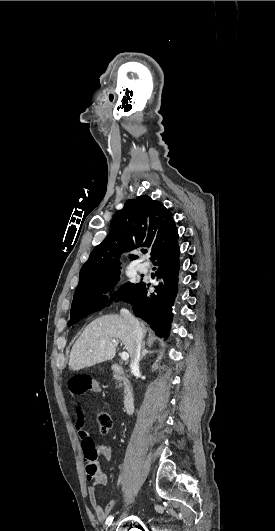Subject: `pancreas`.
<instances>
[{"mask_svg": "<svg viewBox=\"0 0 275 531\" xmlns=\"http://www.w3.org/2000/svg\"><path fill=\"white\" fill-rule=\"evenodd\" d=\"M113 379L118 381L119 387H122V385H126V383H128L127 379H123V377H120V375H117V373H113Z\"/></svg>", "mask_w": 275, "mask_h": 531, "instance_id": "1", "label": "pancreas"}]
</instances>
